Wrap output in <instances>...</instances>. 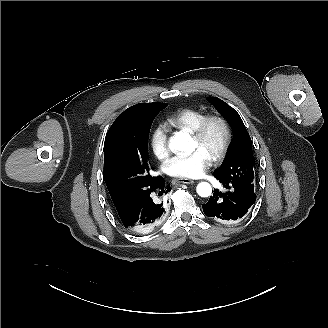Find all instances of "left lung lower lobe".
<instances>
[{
    "mask_svg": "<svg viewBox=\"0 0 328 328\" xmlns=\"http://www.w3.org/2000/svg\"><path fill=\"white\" fill-rule=\"evenodd\" d=\"M214 176L228 191H214L209 201L202 205L205 215L221 223L239 220L256 200L254 187L239 182H226Z\"/></svg>",
    "mask_w": 328,
    "mask_h": 328,
    "instance_id": "obj_1",
    "label": "left lung lower lobe"
}]
</instances>
